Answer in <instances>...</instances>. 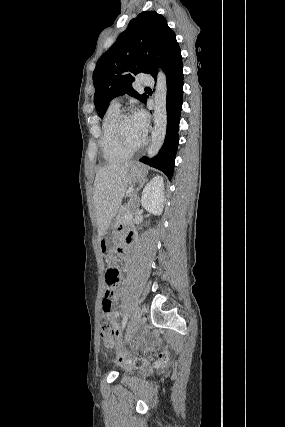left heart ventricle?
<instances>
[{
    "mask_svg": "<svg viewBox=\"0 0 285 427\" xmlns=\"http://www.w3.org/2000/svg\"><path fill=\"white\" fill-rule=\"evenodd\" d=\"M123 133L132 145L139 144L144 139L133 116L126 118L123 122Z\"/></svg>",
    "mask_w": 285,
    "mask_h": 427,
    "instance_id": "obj_1",
    "label": "left heart ventricle"
}]
</instances>
